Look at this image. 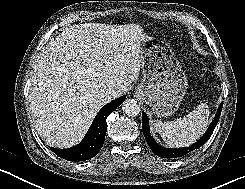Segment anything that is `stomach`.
Masks as SVG:
<instances>
[{
    "label": "stomach",
    "mask_w": 245,
    "mask_h": 189,
    "mask_svg": "<svg viewBox=\"0 0 245 189\" xmlns=\"http://www.w3.org/2000/svg\"><path fill=\"white\" fill-rule=\"evenodd\" d=\"M139 56L143 77L136 94L158 117L174 114L186 94L188 82L172 47L145 39L140 43Z\"/></svg>",
    "instance_id": "stomach-1"
}]
</instances>
